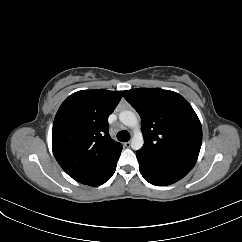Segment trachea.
<instances>
[{
    "mask_svg": "<svg viewBox=\"0 0 242 242\" xmlns=\"http://www.w3.org/2000/svg\"><path fill=\"white\" fill-rule=\"evenodd\" d=\"M117 139L121 142H127L130 140V134L126 130L119 131L117 133Z\"/></svg>",
    "mask_w": 242,
    "mask_h": 242,
    "instance_id": "trachea-1",
    "label": "trachea"
}]
</instances>
